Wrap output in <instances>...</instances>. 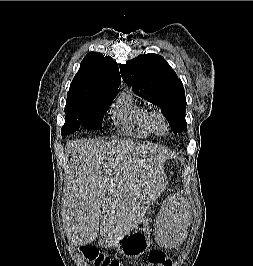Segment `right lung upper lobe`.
Instances as JSON below:
<instances>
[{
    "label": "right lung upper lobe",
    "mask_w": 253,
    "mask_h": 266,
    "mask_svg": "<svg viewBox=\"0 0 253 266\" xmlns=\"http://www.w3.org/2000/svg\"><path fill=\"white\" fill-rule=\"evenodd\" d=\"M121 77L116 62L98 52L88 53L74 77L66 104L88 103L116 96Z\"/></svg>",
    "instance_id": "right-lung-upper-lobe-1"
}]
</instances>
